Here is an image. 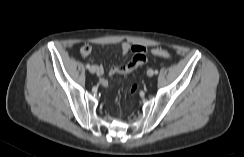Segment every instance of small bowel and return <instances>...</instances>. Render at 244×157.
<instances>
[{
  "instance_id": "1",
  "label": "small bowel",
  "mask_w": 244,
  "mask_h": 157,
  "mask_svg": "<svg viewBox=\"0 0 244 157\" xmlns=\"http://www.w3.org/2000/svg\"><path fill=\"white\" fill-rule=\"evenodd\" d=\"M142 50L146 51L145 48L140 45H131L127 42H122L119 44V51L122 55H126L129 52H133L135 56L138 52ZM91 51L92 48L89 45H84L80 48L81 55L88 58L93 63L94 67L96 68V72L99 77L100 83L103 86H106L108 83L106 76H112L115 74L126 75L133 72L136 68L143 64L136 61L133 57L132 60L128 62L126 65L112 66L108 70H106L101 64L96 63L95 60L91 57Z\"/></svg>"
}]
</instances>
